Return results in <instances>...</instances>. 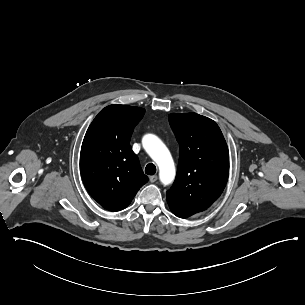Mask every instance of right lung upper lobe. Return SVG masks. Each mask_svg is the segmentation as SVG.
<instances>
[{
  "instance_id": "1",
  "label": "right lung upper lobe",
  "mask_w": 305,
  "mask_h": 305,
  "mask_svg": "<svg viewBox=\"0 0 305 305\" xmlns=\"http://www.w3.org/2000/svg\"><path fill=\"white\" fill-rule=\"evenodd\" d=\"M144 113L140 107L107 106L95 117L84 137L80 153L84 185L109 211L126 208L148 181L129 143Z\"/></svg>"
}]
</instances>
